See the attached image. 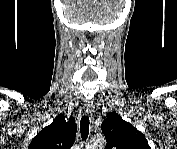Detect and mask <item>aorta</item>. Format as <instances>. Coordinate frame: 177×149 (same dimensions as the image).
I'll list each match as a JSON object with an SVG mask.
<instances>
[{"mask_svg":"<svg viewBox=\"0 0 177 149\" xmlns=\"http://www.w3.org/2000/svg\"><path fill=\"white\" fill-rule=\"evenodd\" d=\"M105 139L102 136L94 137L90 140L87 149H103Z\"/></svg>","mask_w":177,"mask_h":149,"instance_id":"aorta-1","label":"aorta"}]
</instances>
